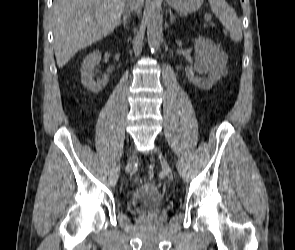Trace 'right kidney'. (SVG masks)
<instances>
[{"mask_svg":"<svg viewBox=\"0 0 295 250\" xmlns=\"http://www.w3.org/2000/svg\"><path fill=\"white\" fill-rule=\"evenodd\" d=\"M101 53L94 51L86 56L82 63L81 82L85 88L93 93H99L107 85L109 75L104 74L102 79L94 80V67L100 63Z\"/></svg>","mask_w":295,"mask_h":250,"instance_id":"right-kidney-1","label":"right kidney"}]
</instances>
